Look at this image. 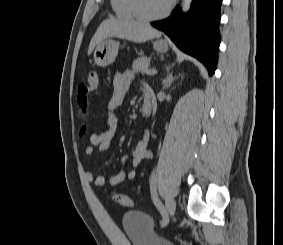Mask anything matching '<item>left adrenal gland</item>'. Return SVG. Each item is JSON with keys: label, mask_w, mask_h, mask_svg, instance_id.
<instances>
[{"label": "left adrenal gland", "mask_w": 283, "mask_h": 245, "mask_svg": "<svg viewBox=\"0 0 283 245\" xmlns=\"http://www.w3.org/2000/svg\"><path fill=\"white\" fill-rule=\"evenodd\" d=\"M176 78L177 77H173L172 73L167 75V77L163 81V89L169 88Z\"/></svg>", "instance_id": "1"}]
</instances>
